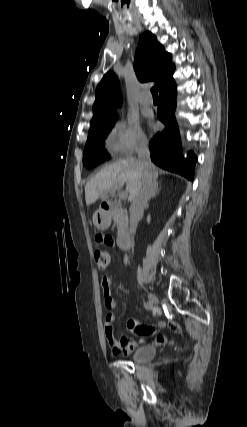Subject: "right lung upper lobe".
I'll return each instance as SVG.
<instances>
[{"instance_id": "obj_1", "label": "right lung upper lobe", "mask_w": 247, "mask_h": 427, "mask_svg": "<svg viewBox=\"0 0 247 427\" xmlns=\"http://www.w3.org/2000/svg\"><path fill=\"white\" fill-rule=\"evenodd\" d=\"M171 59V54L164 51L156 37L148 31L145 32L136 52L135 71L138 79L141 82L155 81V87L160 91L173 79L175 67ZM118 91L116 76L112 72L106 73L96 89L90 129L116 118L114 107ZM119 101L118 98L117 102Z\"/></svg>"}]
</instances>
